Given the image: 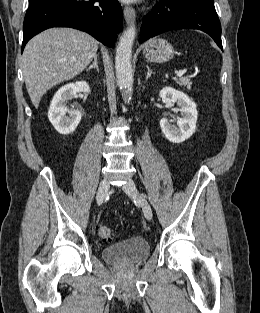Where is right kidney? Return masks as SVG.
<instances>
[{
    "mask_svg": "<svg viewBox=\"0 0 260 313\" xmlns=\"http://www.w3.org/2000/svg\"><path fill=\"white\" fill-rule=\"evenodd\" d=\"M90 91L88 83L79 81L69 83L55 93L48 110V118L57 132L67 135L76 129L81 121L82 114L78 110H69L66 103L77 93H90Z\"/></svg>",
    "mask_w": 260,
    "mask_h": 313,
    "instance_id": "obj_1",
    "label": "right kidney"
}]
</instances>
